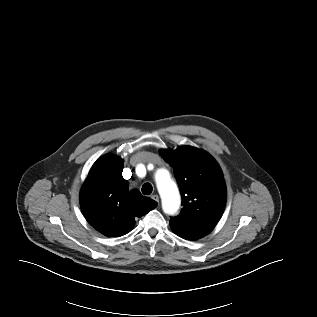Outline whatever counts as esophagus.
Masks as SVG:
<instances>
[{"label": "esophagus", "mask_w": 317, "mask_h": 317, "mask_svg": "<svg viewBox=\"0 0 317 317\" xmlns=\"http://www.w3.org/2000/svg\"><path fill=\"white\" fill-rule=\"evenodd\" d=\"M151 198H152L154 201H156L157 203H159V196H158L157 194H153V195L151 196Z\"/></svg>", "instance_id": "34e87169"}]
</instances>
